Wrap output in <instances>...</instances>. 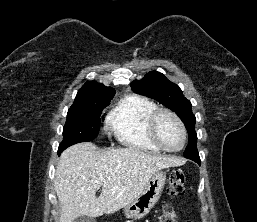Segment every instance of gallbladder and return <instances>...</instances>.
Instances as JSON below:
<instances>
[{
    "mask_svg": "<svg viewBox=\"0 0 257 222\" xmlns=\"http://www.w3.org/2000/svg\"><path fill=\"white\" fill-rule=\"evenodd\" d=\"M73 222H95L94 218L88 216H79Z\"/></svg>",
    "mask_w": 257,
    "mask_h": 222,
    "instance_id": "bac80fb5",
    "label": "gallbladder"
}]
</instances>
